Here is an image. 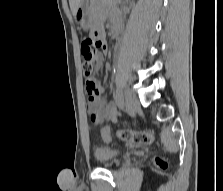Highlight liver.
Masks as SVG:
<instances>
[{"mask_svg":"<svg viewBox=\"0 0 223 191\" xmlns=\"http://www.w3.org/2000/svg\"><path fill=\"white\" fill-rule=\"evenodd\" d=\"M83 0H69L70 9L72 11V14L75 16L77 9L81 5Z\"/></svg>","mask_w":223,"mask_h":191,"instance_id":"6515ba94","label":"liver"}]
</instances>
